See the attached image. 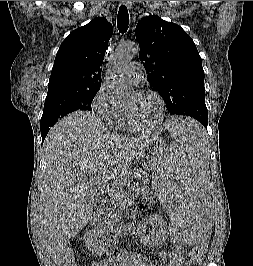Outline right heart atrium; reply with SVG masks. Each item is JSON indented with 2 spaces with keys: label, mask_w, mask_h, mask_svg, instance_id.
<instances>
[{
  "label": "right heart atrium",
  "mask_w": 253,
  "mask_h": 266,
  "mask_svg": "<svg viewBox=\"0 0 253 266\" xmlns=\"http://www.w3.org/2000/svg\"><path fill=\"white\" fill-rule=\"evenodd\" d=\"M91 107L100 120L109 126L116 125L124 116L123 108L116 101L110 89L104 84L99 87L94 95Z\"/></svg>",
  "instance_id": "right-heart-atrium-1"
}]
</instances>
